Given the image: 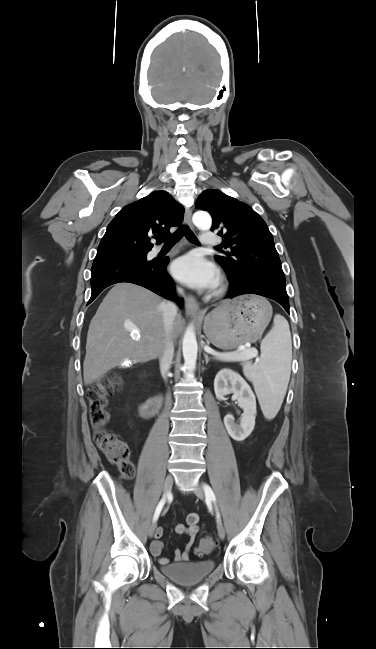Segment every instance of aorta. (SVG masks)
I'll return each mask as SVG.
<instances>
[{
  "mask_svg": "<svg viewBox=\"0 0 376 649\" xmlns=\"http://www.w3.org/2000/svg\"><path fill=\"white\" fill-rule=\"evenodd\" d=\"M194 224L201 230H208L212 225L211 216L205 211H198L193 215ZM182 352L185 365L189 371H192L198 354V345L196 334L192 325H189L185 331L182 341Z\"/></svg>",
  "mask_w": 376,
  "mask_h": 649,
  "instance_id": "762f6f07",
  "label": "aorta"
}]
</instances>
